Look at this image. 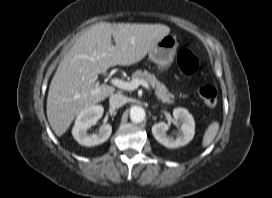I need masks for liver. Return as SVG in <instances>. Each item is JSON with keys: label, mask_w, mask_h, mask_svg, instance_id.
<instances>
[{"label": "liver", "mask_w": 272, "mask_h": 198, "mask_svg": "<svg viewBox=\"0 0 272 198\" xmlns=\"http://www.w3.org/2000/svg\"><path fill=\"white\" fill-rule=\"evenodd\" d=\"M169 32L162 24L100 22L90 26L67 52L50 83L47 117L55 134L62 136L82 110L114 93V87L97 84L98 74L141 61Z\"/></svg>", "instance_id": "1"}]
</instances>
